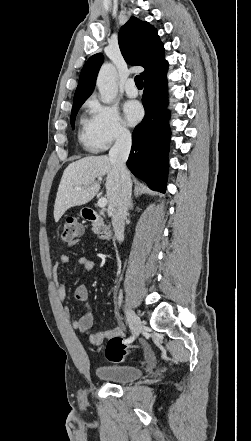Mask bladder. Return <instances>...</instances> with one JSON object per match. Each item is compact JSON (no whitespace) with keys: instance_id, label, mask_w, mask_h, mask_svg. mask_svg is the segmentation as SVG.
Returning a JSON list of instances; mask_svg holds the SVG:
<instances>
[{"instance_id":"bladder-1","label":"bladder","mask_w":251,"mask_h":441,"mask_svg":"<svg viewBox=\"0 0 251 441\" xmlns=\"http://www.w3.org/2000/svg\"><path fill=\"white\" fill-rule=\"evenodd\" d=\"M96 376L106 382L124 384L139 379L141 369L128 365H101L95 368Z\"/></svg>"}]
</instances>
